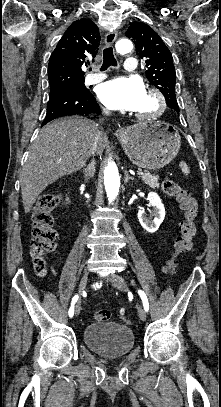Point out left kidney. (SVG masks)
Masks as SVG:
<instances>
[{
    "label": "left kidney",
    "mask_w": 221,
    "mask_h": 407,
    "mask_svg": "<svg viewBox=\"0 0 221 407\" xmlns=\"http://www.w3.org/2000/svg\"><path fill=\"white\" fill-rule=\"evenodd\" d=\"M149 206L153 207L152 216L154 219L148 218L145 215L144 209L138 211V219L141 226L150 233H153L158 230L159 226L165 218V207L159 197L155 192H150L148 194Z\"/></svg>",
    "instance_id": "5707ae66"
}]
</instances>
